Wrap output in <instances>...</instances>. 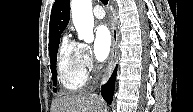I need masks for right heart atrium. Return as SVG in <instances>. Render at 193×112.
Wrapping results in <instances>:
<instances>
[{
    "mask_svg": "<svg viewBox=\"0 0 193 112\" xmlns=\"http://www.w3.org/2000/svg\"><path fill=\"white\" fill-rule=\"evenodd\" d=\"M78 48L84 68L93 72L96 69V63L91 55L90 47L84 43H79Z\"/></svg>",
    "mask_w": 193,
    "mask_h": 112,
    "instance_id": "1",
    "label": "right heart atrium"
}]
</instances>
